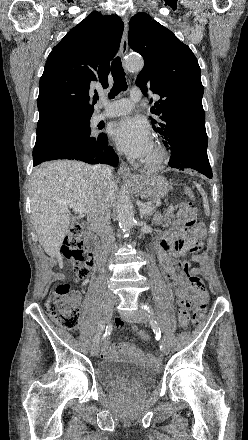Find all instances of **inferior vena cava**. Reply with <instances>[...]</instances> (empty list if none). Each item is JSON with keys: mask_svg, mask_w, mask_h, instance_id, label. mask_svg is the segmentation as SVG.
I'll use <instances>...</instances> for the list:
<instances>
[{"mask_svg": "<svg viewBox=\"0 0 248 440\" xmlns=\"http://www.w3.org/2000/svg\"><path fill=\"white\" fill-rule=\"evenodd\" d=\"M113 168L108 165H96L93 167V175L100 181L110 182L112 180ZM111 202L107 198H98L90 210L87 220L92 230L101 239L102 249L100 253L101 261H105L114 246V235L110 225Z\"/></svg>", "mask_w": 248, "mask_h": 440, "instance_id": "inferior-vena-cava-1", "label": "inferior vena cava"}]
</instances>
